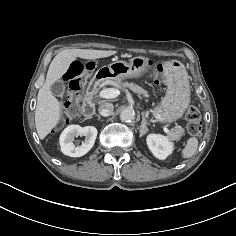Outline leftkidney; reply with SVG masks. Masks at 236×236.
<instances>
[{"label":"left kidney","instance_id":"left-kidney-1","mask_svg":"<svg viewBox=\"0 0 236 236\" xmlns=\"http://www.w3.org/2000/svg\"><path fill=\"white\" fill-rule=\"evenodd\" d=\"M146 141L148 148L158 159H166L173 151V143L169 138L160 134H149Z\"/></svg>","mask_w":236,"mask_h":236}]
</instances>
